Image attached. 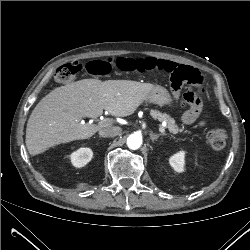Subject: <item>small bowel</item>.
<instances>
[{
  "label": "small bowel",
  "instance_id": "1",
  "mask_svg": "<svg viewBox=\"0 0 250 250\" xmlns=\"http://www.w3.org/2000/svg\"><path fill=\"white\" fill-rule=\"evenodd\" d=\"M179 65L173 61L170 60H164L154 57H146V58H140L138 59V69L137 71H150V70H159V71H165L168 73H172L175 71ZM201 111L200 106H194L193 108L187 110L183 114V122L186 124H192L198 117L199 113ZM200 126L205 125V120H201L199 122Z\"/></svg>",
  "mask_w": 250,
  "mask_h": 250
}]
</instances>
